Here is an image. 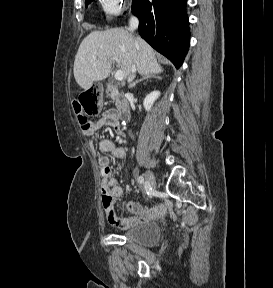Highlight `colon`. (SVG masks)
<instances>
[{"instance_id":"1","label":"colon","mask_w":273,"mask_h":288,"mask_svg":"<svg viewBox=\"0 0 273 288\" xmlns=\"http://www.w3.org/2000/svg\"><path fill=\"white\" fill-rule=\"evenodd\" d=\"M73 108L78 122L83 129L89 127V117L97 115L101 110L100 94L97 90H88L81 93L73 101Z\"/></svg>"}]
</instances>
